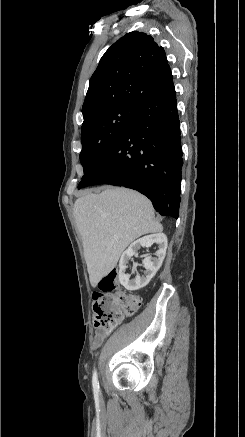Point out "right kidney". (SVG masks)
<instances>
[{"instance_id": "right-kidney-1", "label": "right kidney", "mask_w": 245, "mask_h": 437, "mask_svg": "<svg viewBox=\"0 0 245 437\" xmlns=\"http://www.w3.org/2000/svg\"><path fill=\"white\" fill-rule=\"evenodd\" d=\"M154 243L158 245V250L155 254L156 257L148 256L144 258L143 266L145 271L143 275H136L134 279L130 280V276L125 273L128 267V261L133 255L137 254V251L141 247L149 248ZM167 244V237L163 233L144 236L130 244L128 249L121 255L119 261L118 277L120 283L129 291H136L145 287L161 267L166 255Z\"/></svg>"}]
</instances>
